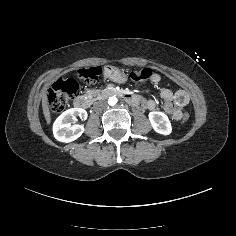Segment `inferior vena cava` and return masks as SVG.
<instances>
[{"label": "inferior vena cava", "instance_id": "1", "mask_svg": "<svg viewBox=\"0 0 236 236\" xmlns=\"http://www.w3.org/2000/svg\"><path fill=\"white\" fill-rule=\"evenodd\" d=\"M106 108V103L104 101L96 102L93 106V110L96 112H101Z\"/></svg>", "mask_w": 236, "mask_h": 236}]
</instances>
